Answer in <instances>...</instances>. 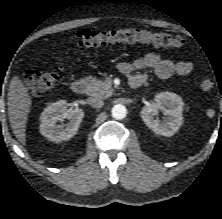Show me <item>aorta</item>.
<instances>
[{"instance_id":"aorta-1","label":"aorta","mask_w":222,"mask_h":219,"mask_svg":"<svg viewBox=\"0 0 222 219\" xmlns=\"http://www.w3.org/2000/svg\"><path fill=\"white\" fill-rule=\"evenodd\" d=\"M112 117L116 120H122L126 117L127 110L122 104H116L112 107Z\"/></svg>"}]
</instances>
